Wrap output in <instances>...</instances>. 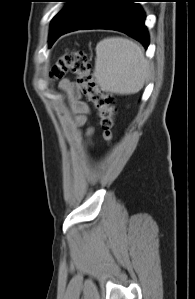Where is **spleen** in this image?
<instances>
[{
    "instance_id": "spleen-1",
    "label": "spleen",
    "mask_w": 195,
    "mask_h": 299,
    "mask_svg": "<svg viewBox=\"0 0 195 299\" xmlns=\"http://www.w3.org/2000/svg\"><path fill=\"white\" fill-rule=\"evenodd\" d=\"M94 76L103 91L137 93L149 76V62L143 49L122 37H109L96 46Z\"/></svg>"
}]
</instances>
